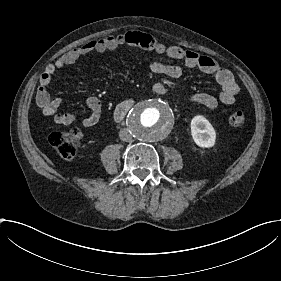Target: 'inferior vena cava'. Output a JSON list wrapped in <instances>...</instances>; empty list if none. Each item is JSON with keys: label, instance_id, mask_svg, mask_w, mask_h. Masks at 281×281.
Returning <instances> with one entry per match:
<instances>
[{"label": "inferior vena cava", "instance_id": "1", "mask_svg": "<svg viewBox=\"0 0 281 281\" xmlns=\"http://www.w3.org/2000/svg\"><path fill=\"white\" fill-rule=\"evenodd\" d=\"M119 137L122 141L130 142L133 139V134L129 129H122L119 133Z\"/></svg>", "mask_w": 281, "mask_h": 281}]
</instances>
